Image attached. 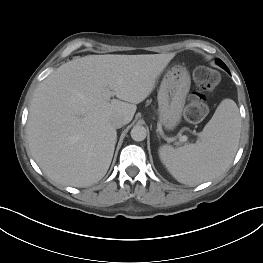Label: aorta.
Returning a JSON list of instances; mask_svg holds the SVG:
<instances>
[{
  "label": "aorta",
  "instance_id": "1",
  "mask_svg": "<svg viewBox=\"0 0 263 263\" xmlns=\"http://www.w3.org/2000/svg\"><path fill=\"white\" fill-rule=\"evenodd\" d=\"M131 138L134 141H143L146 138L147 135V131L146 128L144 126L141 125H135L132 129H131Z\"/></svg>",
  "mask_w": 263,
  "mask_h": 263
}]
</instances>
